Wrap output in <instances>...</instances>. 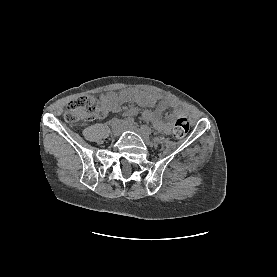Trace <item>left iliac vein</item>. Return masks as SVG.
<instances>
[{
    "mask_svg": "<svg viewBox=\"0 0 277 277\" xmlns=\"http://www.w3.org/2000/svg\"><path fill=\"white\" fill-rule=\"evenodd\" d=\"M125 129L137 133L143 139L146 145L150 146L152 144L149 136L144 131H142V129L138 128L136 125L126 123Z\"/></svg>",
    "mask_w": 277,
    "mask_h": 277,
    "instance_id": "obj_1",
    "label": "left iliac vein"
}]
</instances>
